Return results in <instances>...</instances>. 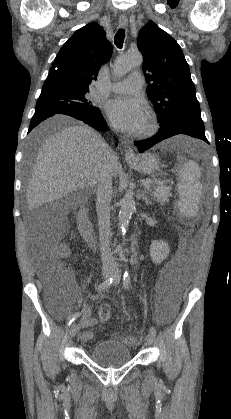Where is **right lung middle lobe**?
I'll use <instances>...</instances> for the list:
<instances>
[{
	"mask_svg": "<svg viewBox=\"0 0 231 419\" xmlns=\"http://www.w3.org/2000/svg\"><path fill=\"white\" fill-rule=\"evenodd\" d=\"M89 89L65 85L43 86L36 103L37 111H49L72 117H90L100 113L87 97Z\"/></svg>",
	"mask_w": 231,
	"mask_h": 419,
	"instance_id": "1",
	"label": "right lung middle lobe"
}]
</instances>
